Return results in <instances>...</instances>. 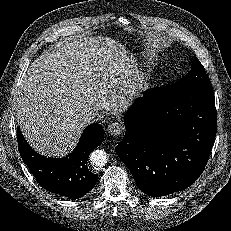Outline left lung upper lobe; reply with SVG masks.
<instances>
[{"label": "left lung upper lobe", "instance_id": "obj_1", "mask_svg": "<svg viewBox=\"0 0 231 231\" xmlns=\"http://www.w3.org/2000/svg\"><path fill=\"white\" fill-rule=\"evenodd\" d=\"M156 90L164 95L188 90H213V87L203 65L195 57L191 71L185 77L170 86L157 87Z\"/></svg>", "mask_w": 231, "mask_h": 231}]
</instances>
